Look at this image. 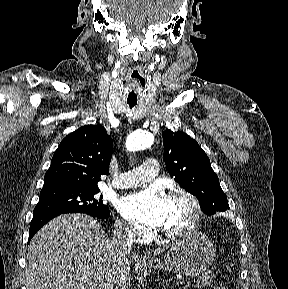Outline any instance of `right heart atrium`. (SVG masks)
Listing matches in <instances>:
<instances>
[{"label":"right heart atrium","mask_w":288,"mask_h":289,"mask_svg":"<svg viewBox=\"0 0 288 289\" xmlns=\"http://www.w3.org/2000/svg\"><path fill=\"white\" fill-rule=\"evenodd\" d=\"M116 228L121 235L131 241H140L146 238V228L126 220H117Z\"/></svg>","instance_id":"right-heart-atrium-1"}]
</instances>
